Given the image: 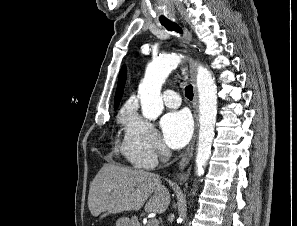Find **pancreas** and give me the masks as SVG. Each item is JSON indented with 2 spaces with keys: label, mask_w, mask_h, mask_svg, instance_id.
Instances as JSON below:
<instances>
[{
  "label": "pancreas",
  "mask_w": 297,
  "mask_h": 226,
  "mask_svg": "<svg viewBox=\"0 0 297 226\" xmlns=\"http://www.w3.org/2000/svg\"><path fill=\"white\" fill-rule=\"evenodd\" d=\"M158 225H159V223L156 224V226H158ZM147 226H150V225H147Z\"/></svg>",
  "instance_id": "1"
}]
</instances>
